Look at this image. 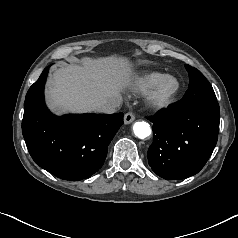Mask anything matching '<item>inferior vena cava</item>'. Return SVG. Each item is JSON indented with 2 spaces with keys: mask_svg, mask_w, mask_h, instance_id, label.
<instances>
[{
  "mask_svg": "<svg viewBox=\"0 0 238 238\" xmlns=\"http://www.w3.org/2000/svg\"><path fill=\"white\" fill-rule=\"evenodd\" d=\"M121 104V99L115 98L109 102L101 103L97 106V111L105 114H111L117 111Z\"/></svg>",
  "mask_w": 238,
  "mask_h": 238,
  "instance_id": "obj_1",
  "label": "inferior vena cava"
}]
</instances>
